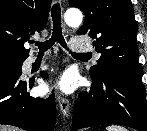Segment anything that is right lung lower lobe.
I'll return each mask as SVG.
<instances>
[{"label": "right lung lower lobe", "instance_id": "obj_1", "mask_svg": "<svg viewBox=\"0 0 147 131\" xmlns=\"http://www.w3.org/2000/svg\"><path fill=\"white\" fill-rule=\"evenodd\" d=\"M46 78L45 72L41 73ZM20 75H0V124L27 131H53L56 120L54 94L48 99L34 98L27 90L34 80L22 81Z\"/></svg>", "mask_w": 147, "mask_h": 131}]
</instances>
